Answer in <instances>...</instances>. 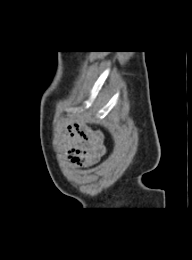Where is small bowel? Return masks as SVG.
Returning <instances> with one entry per match:
<instances>
[{
  "mask_svg": "<svg viewBox=\"0 0 192 260\" xmlns=\"http://www.w3.org/2000/svg\"><path fill=\"white\" fill-rule=\"evenodd\" d=\"M64 147L70 164L75 168L92 165L105 153L102 134L80 123L68 126Z\"/></svg>",
  "mask_w": 192,
  "mask_h": 260,
  "instance_id": "c3829d8e",
  "label": "small bowel"
}]
</instances>
